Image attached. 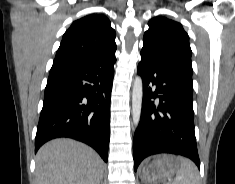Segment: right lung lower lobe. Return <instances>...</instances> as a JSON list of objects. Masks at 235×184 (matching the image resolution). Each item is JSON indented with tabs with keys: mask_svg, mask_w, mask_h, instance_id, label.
<instances>
[{
	"mask_svg": "<svg viewBox=\"0 0 235 184\" xmlns=\"http://www.w3.org/2000/svg\"><path fill=\"white\" fill-rule=\"evenodd\" d=\"M115 62L52 66L37 127L35 152L51 139L68 137L88 144L108 161Z\"/></svg>",
	"mask_w": 235,
	"mask_h": 184,
	"instance_id": "obj_1",
	"label": "right lung lower lobe"
}]
</instances>
